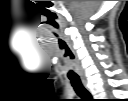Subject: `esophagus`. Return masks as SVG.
<instances>
[{
    "instance_id": "34e87169",
    "label": "esophagus",
    "mask_w": 128,
    "mask_h": 101,
    "mask_svg": "<svg viewBox=\"0 0 128 101\" xmlns=\"http://www.w3.org/2000/svg\"><path fill=\"white\" fill-rule=\"evenodd\" d=\"M82 83H83L84 87H85L87 90H89L87 81H86L84 78H82Z\"/></svg>"
}]
</instances>
